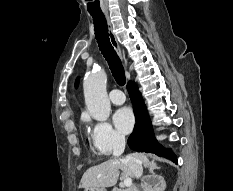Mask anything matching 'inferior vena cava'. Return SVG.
I'll return each instance as SVG.
<instances>
[{
    "label": "inferior vena cava",
    "instance_id": "inferior-vena-cava-1",
    "mask_svg": "<svg viewBox=\"0 0 233 191\" xmlns=\"http://www.w3.org/2000/svg\"><path fill=\"white\" fill-rule=\"evenodd\" d=\"M125 150V138L124 137H119L113 148V155L114 157H119ZM123 163H125L133 175L136 178H140L143 174V167H142V162L135 156H128L125 159L121 160Z\"/></svg>",
    "mask_w": 233,
    "mask_h": 191
}]
</instances>
